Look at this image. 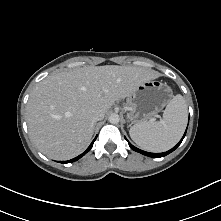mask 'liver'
<instances>
[{"instance_id":"liver-1","label":"liver","mask_w":221,"mask_h":221,"mask_svg":"<svg viewBox=\"0 0 221 221\" xmlns=\"http://www.w3.org/2000/svg\"><path fill=\"white\" fill-rule=\"evenodd\" d=\"M158 77L134 66H88L50 75L39 82L26 106L29 135L38 149L55 160L84 151L94 132L92 117L129 97L143 82Z\"/></svg>"}]
</instances>
